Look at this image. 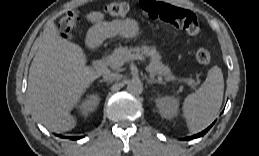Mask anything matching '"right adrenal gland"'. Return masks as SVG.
I'll use <instances>...</instances> for the list:
<instances>
[{"instance_id": "right-adrenal-gland-1", "label": "right adrenal gland", "mask_w": 259, "mask_h": 156, "mask_svg": "<svg viewBox=\"0 0 259 156\" xmlns=\"http://www.w3.org/2000/svg\"><path fill=\"white\" fill-rule=\"evenodd\" d=\"M99 82H107L108 84H110L111 83V81H108V80H106V79H103V80H99Z\"/></svg>"}]
</instances>
